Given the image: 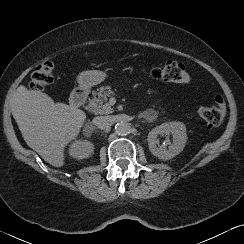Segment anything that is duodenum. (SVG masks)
I'll return each instance as SVG.
<instances>
[{"label":"duodenum","mask_w":244,"mask_h":244,"mask_svg":"<svg viewBox=\"0 0 244 244\" xmlns=\"http://www.w3.org/2000/svg\"><path fill=\"white\" fill-rule=\"evenodd\" d=\"M90 90L89 88L85 86H79L77 87L70 97V105L73 108H78L82 105H84L87 101V98L89 96Z\"/></svg>","instance_id":"obj_1"}]
</instances>
